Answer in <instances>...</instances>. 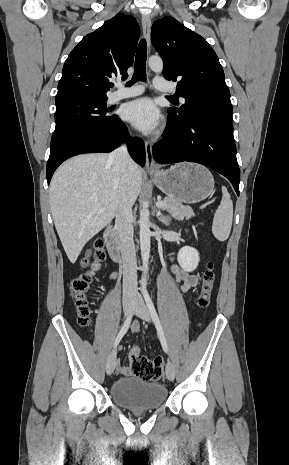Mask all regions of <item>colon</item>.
I'll use <instances>...</instances> for the list:
<instances>
[{
  "label": "colon",
  "mask_w": 289,
  "mask_h": 465,
  "mask_svg": "<svg viewBox=\"0 0 289 465\" xmlns=\"http://www.w3.org/2000/svg\"><path fill=\"white\" fill-rule=\"evenodd\" d=\"M103 242L97 239L93 248L87 251L81 262L83 271L75 276L70 283V294L75 306L78 324L87 327L90 323V308L87 293L90 288L93 269L96 262L103 258ZM215 282V266L212 261L206 264L202 274L201 288L197 298V305L205 309L210 305ZM130 366L135 376L146 381H157L163 374V360L161 357L150 359L141 354L137 346L130 351Z\"/></svg>",
  "instance_id": "obj_1"
}]
</instances>
